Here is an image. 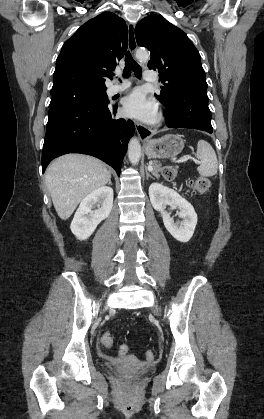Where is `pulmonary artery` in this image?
Masks as SVG:
<instances>
[{"label":"pulmonary artery","mask_w":264,"mask_h":419,"mask_svg":"<svg viewBox=\"0 0 264 419\" xmlns=\"http://www.w3.org/2000/svg\"><path fill=\"white\" fill-rule=\"evenodd\" d=\"M144 79L148 82H155L157 79L156 73L152 70H146L144 72ZM130 86V83L128 81H123L121 84L112 85L108 92L111 95L117 94L119 92L124 91Z\"/></svg>","instance_id":"obj_1"}]
</instances>
